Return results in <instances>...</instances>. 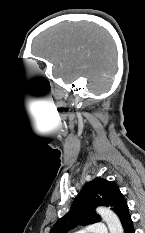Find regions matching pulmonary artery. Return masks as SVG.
Masks as SVG:
<instances>
[{
    "label": "pulmonary artery",
    "mask_w": 145,
    "mask_h": 233,
    "mask_svg": "<svg viewBox=\"0 0 145 233\" xmlns=\"http://www.w3.org/2000/svg\"><path fill=\"white\" fill-rule=\"evenodd\" d=\"M76 233H108V229L103 222H99L86 229L79 230Z\"/></svg>",
    "instance_id": "1"
}]
</instances>
